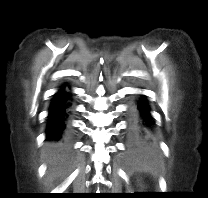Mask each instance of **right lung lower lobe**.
I'll use <instances>...</instances> for the list:
<instances>
[{
  "label": "right lung lower lobe",
  "instance_id": "right-lung-lower-lobe-1",
  "mask_svg": "<svg viewBox=\"0 0 208 198\" xmlns=\"http://www.w3.org/2000/svg\"><path fill=\"white\" fill-rule=\"evenodd\" d=\"M70 97L68 92L60 89L55 94L50 106L46 139L53 142L51 153L57 158L65 157L68 152L65 130L66 119L70 113Z\"/></svg>",
  "mask_w": 208,
  "mask_h": 198
}]
</instances>
